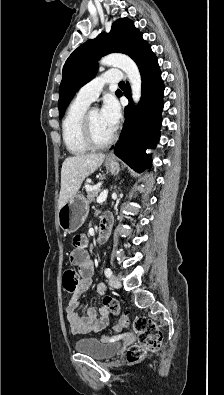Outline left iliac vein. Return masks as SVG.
<instances>
[{"label":"left iliac vein","instance_id":"4c4485c4","mask_svg":"<svg viewBox=\"0 0 224 395\" xmlns=\"http://www.w3.org/2000/svg\"><path fill=\"white\" fill-rule=\"evenodd\" d=\"M109 285L113 288L119 289L121 287V282L117 276H112L109 279Z\"/></svg>","mask_w":224,"mask_h":395}]
</instances>
